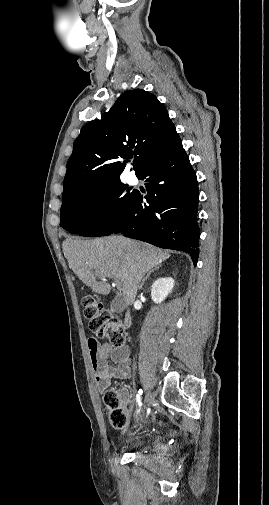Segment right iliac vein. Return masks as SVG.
Wrapping results in <instances>:
<instances>
[{
  "mask_svg": "<svg viewBox=\"0 0 269 505\" xmlns=\"http://www.w3.org/2000/svg\"><path fill=\"white\" fill-rule=\"evenodd\" d=\"M144 402H145L144 409H146L148 406H150L152 404V402H153V395H152L151 392H147L146 393Z\"/></svg>",
  "mask_w": 269,
  "mask_h": 505,
  "instance_id": "right-iliac-vein-1",
  "label": "right iliac vein"
}]
</instances>
